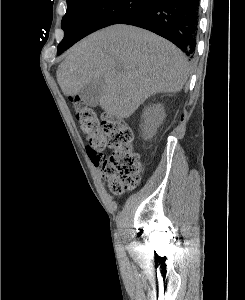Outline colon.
<instances>
[{"mask_svg":"<svg viewBox=\"0 0 245 300\" xmlns=\"http://www.w3.org/2000/svg\"><path fill=\"white\" fill-rule=\"evenodd\" d=\"M80 128L87 135L86 150L93 163L100 167L109 189L122 194L138 186L141 180V162L133 148V133L122 121L112 115L101 119L80 98L73 99ZM111 154L105 156V149Z\"/></svg>","mask_w":245,"mask_h":300,"instance_id":"5ec220e1","label":"colon"}]
</instances>
